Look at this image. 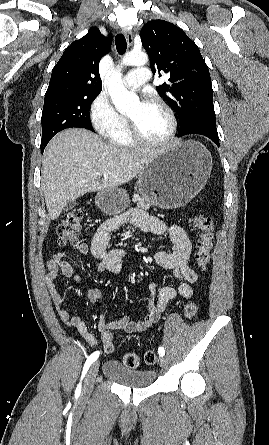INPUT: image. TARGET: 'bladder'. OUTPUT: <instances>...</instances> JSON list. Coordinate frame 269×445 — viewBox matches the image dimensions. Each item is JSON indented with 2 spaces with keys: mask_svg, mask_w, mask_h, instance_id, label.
Returning a JSON list of instances; mask_svg holds the SVG:
<instances>
[{
  "mask_svg": "<svg viewBox=\"0 0 269 445\" xmlns=\"http://www.w3.org/2000/svg\"><path fill=\"white\" fill-rule=\"evenodd\" d=\"M103 374L119 385L134 389L149 387L156 379V372L152 369H132L117 360L106 361Z\"/></svg>",
  "mask_w": 269,
  "mask_h": 445,
  "instance_id": "1",
  "label": "bladder"
}]
</instances>
